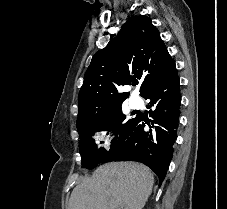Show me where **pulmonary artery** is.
<instances>
[{"label": "pulmonary artery", "mask_w": 227, "mask_h": 209, "mask_svg": "<svg viewBox=\"0 0 227 209\" xmlns=\"http://www.w3.org/2000/svg\"><path fill=\"white\" fill-rule=\"evenodd\" d=\"M129 96V103L135 108L139 107L144 101V98L138 95V91H129Z\"/></svg>", "instance_id": "e3ab8cb5"}]
</instances>
